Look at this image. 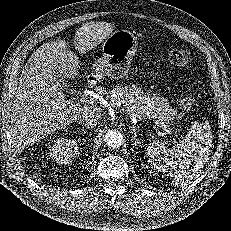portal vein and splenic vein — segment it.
<instances>
[{
  "label": "portal vein and splenic vein",
  "instance_id": "1",
  "mask_svg": "<svg viewBox=\"0 0 231 231\" xmlns=\"http://www.w3.org/2000/svg\"><path fill=\"white\" fill-rule=\"evenodd\" d=\"M97 99H98V97L96 95L87 94L85 96H82L80 101L83 103L93 104ZM150 118H152V117H150ZM152 121L156 126L161 127L168 134H171L170 128L164 122H161L160 120H157L155 118H152Z\"/></svg>",
  "mask_w": 231,
  "mask_h": 231
}]
</instances>
